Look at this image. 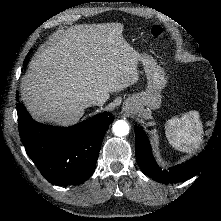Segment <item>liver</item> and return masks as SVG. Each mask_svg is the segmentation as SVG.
<instances>
[{
  "label": "liver",
  "mask_w": 221,
  "mask_h": 221,
  "mask_svg": "<svg viewBox=\"0 0 221 221\" xmlns=\"http://www.w3.org/2000/svg\"><path fill=\"white\" fill-rule=\"evenodd\" d=\"M121 23L81 24L56 34L40 48L22 78L21 99L33 117L76 123L87 100L121 91L138 80L141 54L123 37Z\"/></svg>",
  "instance_id": "liver-1"
}]
</instances>
